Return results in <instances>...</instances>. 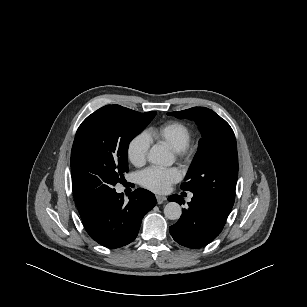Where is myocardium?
Masks as SVG:
<instances>
[{"mask_svg": "<svg viewBox=\"0 0 307 307\" xmlns=\"http://www.w3.org/2000/svg\"><path fill=\"white\" fill-rule=\"evenodd\" d=\"M195 151H196L195 147L189 143L181 150L174 151V153L178 159H180L185 163H188L192 160Z\"/></svg>", "mask_w": 307, "mask_h": 307, "instance_id": "1", "label": "myocardium"}]
</instances>
